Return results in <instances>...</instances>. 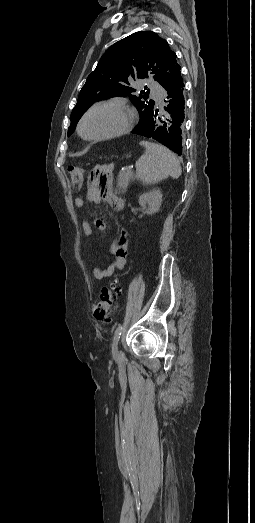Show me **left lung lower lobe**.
<instances>
[{
	"label": "left lung lower lobe",
	"mask_w": 255,
	"mask_h": 523,
	"mask_svg": "<svg viewBox=\"0 0 255 523\" xmlns=\"http://www.w3.org/2000/svg\"><path fill=\"white\" fill-rule=\"evenodd\" d=\"M176 82L177 85H170L165 90V97L169 95L170 98L165 99L163 109L169 111V114H163V110L160 109L155 112L151 111L150 118L147 123H144V127L135 128L133 131H135V135H141V137H154L160 146L171 147L173 153L183 157L184 81L181 80V77H176Z\"/></svg>",
	"instance_id": "left-lung-lower-lobe-1"
}]
</instances>
